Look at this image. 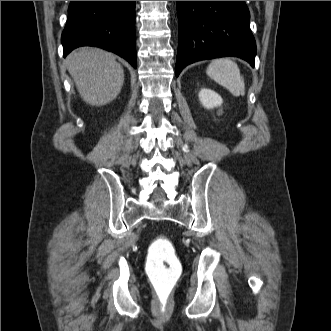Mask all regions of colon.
<instances>
[{"label":"colon","instance_id":"colon-1","mask_svg":"<svg viewBox=\"0 0 331 331\" xmlns=\"http://www.w3.org/2000/svg\"><path fill=\"white\" fill-rule=\"evenodd\" d=\"M146 273L160 307H168L182 274V266L173 244L166 237H157L150 245Z\"/></svg>","mask_w":331,"mask_h":331}]
</instances>
